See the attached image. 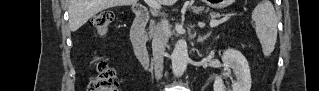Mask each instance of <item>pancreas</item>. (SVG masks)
Masks as SVG:
<instances>
[{"label":"pancreas","instance_id":"cf45deb5","mask_svg":"<svg viewBox=\"0 0 319 91\" xmlns=\"http://www.w3.org/2000/svg\"><path fill=\"white\" fill-rule=\"evenodd\" d=\"M210 17H211L212 19H214V18L220 17V15H219L218 13L211 12V13H210ZM152 34H153V28L151 27V28H150V31H149V35H152Z\"/></svg>","mask_w":319,"mask_h":91}]
</instances>
